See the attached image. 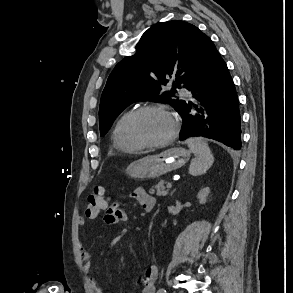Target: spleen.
<instances>
[{"mask_svg": "<svg viewBox=\"0 0 293 293\" xmlns=\"http://www.w3.org/2000/svg\"><path fill=\"white\" fill-rule=\"evenodd\" d=\"M186 143L190 151L195 154L189 167V173L193 176L204 174L214 162V156L208 144L199 137L189 138Z\"/></svg>", "mask_w": 293, "mask_h": 293, "instance_id": "obj_1", "label": "spleen"}]
</instances>
